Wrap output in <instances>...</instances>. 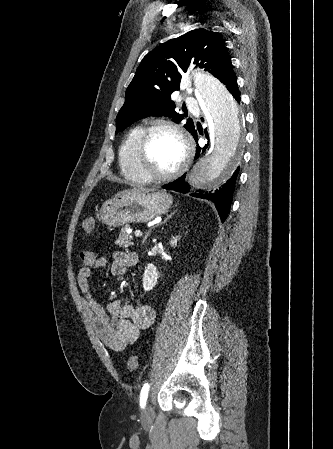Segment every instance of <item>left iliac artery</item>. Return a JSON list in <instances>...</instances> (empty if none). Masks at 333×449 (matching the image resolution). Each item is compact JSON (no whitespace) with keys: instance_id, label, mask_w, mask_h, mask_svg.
I'll list each match as a JSON object with an SVG mask.
<instances>
[{"instance_id":"left-iliac-artery-1","label":"left iliac artery","mask_w":333,"mask_h":449,"mask_svg":"<svg viewBox=\"0 0 333 449\" xmlns=\"http://www.w3.org/2000/svg\"><path fill=\"white\" fill-rule=\"evenodd\" d=\"M149 387H150L149 384L145 383L141 389V392H140V407L141 408H144L146 405V401H147L148 393H149Z\"/></svg>"}]
</instances>
